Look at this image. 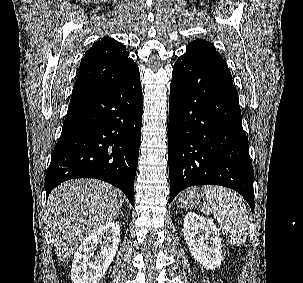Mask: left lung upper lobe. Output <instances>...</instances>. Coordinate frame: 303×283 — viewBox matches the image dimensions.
<instances>
[{
  "label": "left lung upper lobe",
  "instance_id": "obj_1",
  "mask_svg": "<svg viewBox=\"0 0 303 283\" xmlns=\"http://www.w3.org/2000/svg\"><path fill=\"white\" fill-rule=\"evenodd\" d=\"M206 51H216L215 47L205 40H195L189 43L186 49V53H194V52H206Z\"/></svg>",
  "mask_w": 303,
  "mask_h": 283
}]
</instances>
